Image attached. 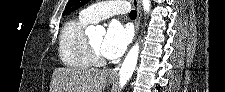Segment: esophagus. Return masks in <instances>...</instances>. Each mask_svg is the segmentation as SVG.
<instances>
[{
	"label": "esophagus",
	"mask_w": 225,
	"mask_h": 92,
	"mask_svg": "<svg viewBox=\"0 0 225 92\" xmlns=\"http://www.w3.org/2000/svg\"><path fill=\"white\" fill-rule=\"evenodd\" d=\"M133 5L136 7L137 9V20H136V35L138 34L139 31V25H140V20H141V8H140V3L139 0H132ZM121 67V63H118L111 71H110V75L111 76H117L118 72L120 70Z\"/></svg>",
	"instance_id": "obj_1"
}]
</instances>
